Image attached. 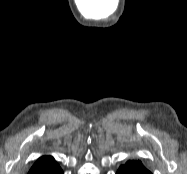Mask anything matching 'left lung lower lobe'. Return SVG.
<instances>
[{"label": "left lung lower lobe", "instance_id": "1", "mask_svg": "<svg viewBox=\"0 0 187 174\" xmlns=\"http://www.w3.org/2000/svg\"><path fill=\"white\" fill-rule=\"evenodd\" d=\"M116 174H152L144 166L135 167L129 164L122 165Z\"/></svg>", "mask_w": 187, "mask_h": 174}]
</instances>
